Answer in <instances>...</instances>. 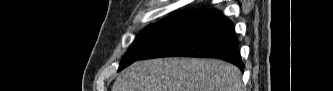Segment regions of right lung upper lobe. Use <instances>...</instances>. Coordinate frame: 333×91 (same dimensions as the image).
<instances>
[{"label": "right lung upper lobe", "instance_id": "1", "mask_svg": "<svg viewBox=\"0 0 333 91\" xmlns=\"http://www.w3.org/2000/svg\"><path fill=\"white\" fill-rule=\"evenodd\" d=\"M197 15L196 13H176L174 14L171 18L173 19H186V20H191L195 18Z\"/></svg>", "mask_w": 333, "mask_h": 91}]
</instances>
